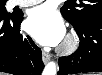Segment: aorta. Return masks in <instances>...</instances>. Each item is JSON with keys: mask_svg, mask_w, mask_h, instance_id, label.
<instances>
[{"mask_svg": "<svg viewBox=\"0 0 102 75\" xmlns=\"http://www.w3.org/2000/svg\"><path fill=\"white\" fill-rule=\"evenodd\" d=\"M42 75H56V63L53 61L49 62L45 66Z\"/></svg>", "mask_w": 102, "mask_h": 75, "instance_id": "obj_1", "label": "aorta"}]
</instances>
